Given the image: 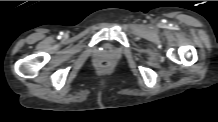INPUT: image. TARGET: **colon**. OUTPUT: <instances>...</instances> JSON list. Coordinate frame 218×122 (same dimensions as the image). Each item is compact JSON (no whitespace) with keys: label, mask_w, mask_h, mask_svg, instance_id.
<instances>
[{"label":"colon","mask_w":218,"mask_h":122,"mask_svg":"<svg viewBox=\"0 0 218 122\" xmlns=\"http://www.w3.org/2000/svg\"><path fill=\"white\" fill-rule=\"evenodd\" d=\"M100 67L103 70H108L111 67V62L108 60L102 61Z\"/></svg>","instance_id":"5ec220e1"}]
</instances>
